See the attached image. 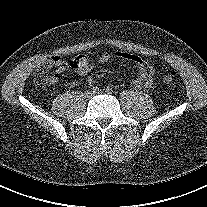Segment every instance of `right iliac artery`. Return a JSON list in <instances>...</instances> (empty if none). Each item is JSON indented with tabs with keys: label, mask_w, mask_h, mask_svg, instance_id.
I'll return each instance as SVG.
<instances>
[{
	"label": "right iliac artery",
	"mask_w": 207,
	"mask_h": 207,
	"mask_svg": "<svg viewBox=\"0 0 207 207\" xmlns=\"http://www.w3.org/2000/svg\"><path fill=\"white\" fill-rule=\"evenodd\" d=\"M93 93H99V88L97 86L92 88Z\"/></svg>",
	"instance_id": "82829eb1"
}]
</instances>
